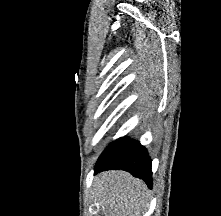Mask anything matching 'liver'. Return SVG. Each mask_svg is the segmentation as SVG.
<instances>
[{"instance_id": "obj_1", "label": "liver", "mask_w": 221, "mask_h": 216, "mask_svg": "<svg viewBox=\"0 0 221 216\" xmlns=\"http://www.w3.org/2000/svg\"><path fill=\"white\" fill-rule=\"evenodd\" d=\"M94 196L105 216H144L146 184L125 171H106L95 180Z\"/></svg>"}]
</instances>
